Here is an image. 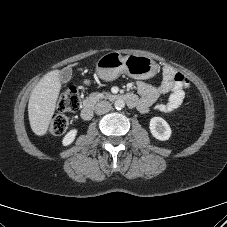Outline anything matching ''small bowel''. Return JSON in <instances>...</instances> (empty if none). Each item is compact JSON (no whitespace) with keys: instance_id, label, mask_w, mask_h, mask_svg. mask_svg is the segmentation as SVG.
Here are the masks:
<instances>
[{"instance_id":"small-bowel-1","label":"small bowel","mask_w":227,"mask_h":227,"mask_svg":"<svg viewBox=\"0 0 227 227\" xmlns=\"http://www.w3.org/2000/svg\"><path fill=\"white\" fill-rule=\"evenodd\" d=\"M187 79L180 73H176L170 66L163 68L162 81L158 87L145 82L137 83V90L140 95L137 109L140 113H147L157 103L162 94H169L167 101L158 103L156 108L165 114L174 113L186 97Z\"/></svg>"}]
</instances>
